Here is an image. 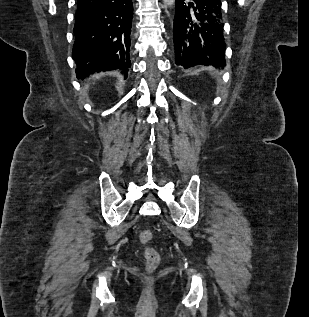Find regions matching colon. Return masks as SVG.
<instances>
[{
  "instance_id": "obj_1",
  "label": "colon",
  "mask_w": 309,
  "mask_h": 317,
  "mask_svg": "<svg viewBox=\"0 0 309 317\" xmlns=\"http://www.w3.org/2000/svg\"><path fill=\"white\" fill-rule=\"evenodd\" d=\"M140 242L145 246L144 255L146 258V267L149 272H153L160 263V255L158 251L150 246L153 240V234L150 230H142L139 234Z\"/></svg>"
}]
</instances>
